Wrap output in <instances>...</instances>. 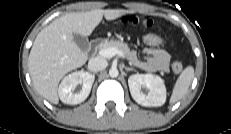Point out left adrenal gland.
Returning a JSON list of instances; mask_svg holds the SVG:
<instances>
[{
	"label": "left adrenal gland",
	"mask_w": 231,
	"mask_h": 134,
	"mask_svg": "<svg viewBox=\"0 0 231 134\" xmlns=\"http://www.w3.org/2000/svg\"><path fill=\"white\" fill-rule=\"evenodd\" d=\"M125 70H126V71H136L135 69L129 68V67H125Z\"/></svg>",
	"instance_id": "left-adrenal-gland-1"
}]
</instances>
